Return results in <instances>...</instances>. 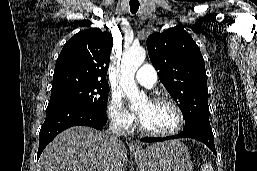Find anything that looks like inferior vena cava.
I'll use <instances>...</instances> for the list:
<instances>
[{
	"instance_id": "inferior-vena-cava-1",
	"label": "inferior vena cava",
	"mask_w": 257,
	"mask_h": 171,
	"mask_svg": "<svg viewBox=\"0 0 257 171\" xmlns=\"http://www.w3.org/2000/svg\"><path fill=\"white\" fill-rule=\"evenodd\" d=\"M109 131L115 136L126 135L125 132L121 129L119 123L115 120H112V122L110 123Z\"/></svg>"
}]
</instances>
